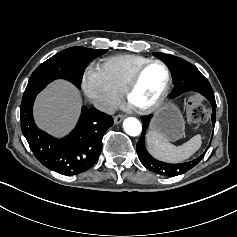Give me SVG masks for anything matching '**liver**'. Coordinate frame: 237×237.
Instances as JSON below:
<instances>
[{
    "mask_svg": "<svg viewBox=\"0 0 237 237\" xmlns=\"http://www.w3.org/2000/svg\"><path fill=\"white\" fill-rule=\"evenodd\" d=\"M82 98L71 83L56 80L38 94L33 110L36 124L48 133L62 137L77 122Z\"/></svg>",
    "mask_w": 237,
    "mask_h": 237,
    "instance_id": "1",
    "label": "liver"
}]
</instances>
